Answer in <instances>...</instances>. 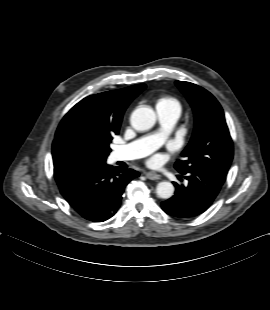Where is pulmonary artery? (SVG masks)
Returning a JSON list of instances; mask_svg holds the SVG:
<instances>
[{"instance_id": "pulmonary-artery-1", "label": "pulmonary artery", "mask_w": 270, "mask_h": 310, "mask_svg": "<svg viewBox=\"0 0 270 310\" xmlns=\"http://www.w3.org/2000/svg\"><path fill=\"white\" fill-rule=\"evenodd\" d=\"M157 112L162 125L160 131L117 148L115 150L116 160H134L142 158L156 150L165 142L171 129L176 124L179 115L161 110H157Z\"/></svg>"}]
</instances>
